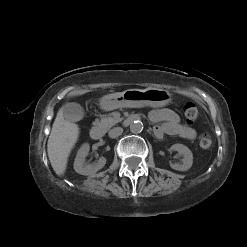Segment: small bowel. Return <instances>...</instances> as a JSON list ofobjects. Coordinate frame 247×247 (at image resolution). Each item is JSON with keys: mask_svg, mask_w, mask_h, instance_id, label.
I'll list each match as a JSON object with an SVG mask.
<instances>
[{"mask_svg": "<svg viewBox=\"0 0 247 247\" xmlns=\"http://www.w3.org/2000/svg\"><path fill=\"white\" fill-rule=\"evenodd\" d=\"M149 118L153 123H157L154 128V134L157 138L164 135H174L187 140H193L196 137V131L185 124H182L179 116L170 109L153 110L149 114Z\"/></svg>", "mask_w": 247, "mask_h": 247, "instance_id": "1", "label": "small bowel"}]
</instances>
